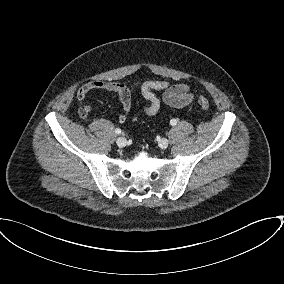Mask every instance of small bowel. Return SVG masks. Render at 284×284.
<instances>
[{"mask_svg":"<svg viewBox=\"0 0 284 284\" xmlns=\"http://www.w3.org/2000/svg\"><path fill=\"white\" fill-rule=\"evenodd\" d=\"M136 89H140L142 96L148 102L142 109L146 116L158 114L163 104L170 109L178 110L188 106L194 100V94L191 93L190 87L186 83L171 85L167 80L151 79L141 84L125 85L92 80L81 85L77 91L79 116L82 119H87L91 112V106L87 103V95L91 91H106L118 95L121 102V113L118 116V121L124 123L130 113L132 95ZM158 91H162V98L157 96L156 92Z\"/></svg>","mask_w":284,"mask_h":284,"instance_id":"1","label":"small bowel"}]
</instances>
